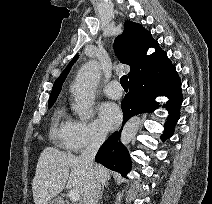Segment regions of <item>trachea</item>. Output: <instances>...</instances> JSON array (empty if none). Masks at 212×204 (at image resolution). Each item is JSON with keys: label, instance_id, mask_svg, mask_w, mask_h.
<instances>
[{"label": "trachea", "instance_id": "trachea-1", "mask_svg": "<svg viewBox=\"0 0 212 204\" xmlns=\"http://www.w3.org/2000/svg\"><path fill=\"white\" fill-rule=\"evenodd\" d=\"M120 84L122 85L123 89H128V77L126 75L120 78Z\"/></svg>", "mask_w": 212, "mask_h": 204}]
</instances>
